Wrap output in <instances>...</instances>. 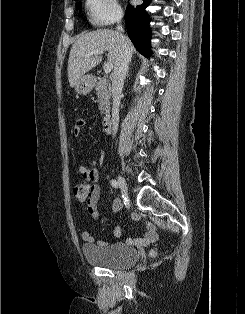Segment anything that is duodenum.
<instances>
[{
  "instance_id": "1",
  "label": "duodenum",
  "mask_w": 245,
  "mask_h": 314,
  "mask_svg": "<svg viewBox=\"0 0 245 314\" xmlns=\"http://www.w3.org/2000/svg\"><path fill=\"white\" fill-rule=\"evenodd\" d=\"M103 129L106 133H110L112 130V117L107 114L102 120Z\"/></svg>"
}]
</instances>
